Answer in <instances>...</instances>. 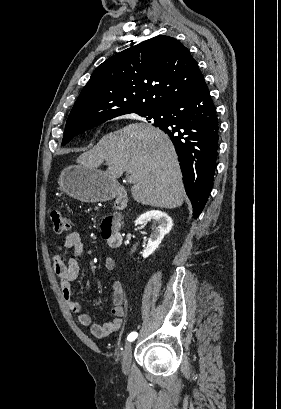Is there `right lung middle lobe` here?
Segmentation results:
<instances>
[{"instance_id": "obj_1", "label": "right lung middle lobe", "mask_w": 281, "mask_h": 409, "mask_svg": "<svg viewBox=\"0 0 281 409\" xmlns=\"http://www.w3.org/2000/svg\"><path fill=\"white\" fill-rule=\"evenodd\" d=\"M128 113H132V112H127V113H122V114H118V115H114V116H110L108 118H105L99 122H96L94 124L88 125V126H83V127H68L65 128V133H64V137H63V141H62V145L67 144L73 137H75L76 135L90 129L93 128L107 120H110L114 117L120 116V115H124V114H128ZM136 113L142 117H146L148 120L150 119H154V112H147V111H142V112H133ZM157 119H154V122H156Z\"/></svg>"}]
</instances>
